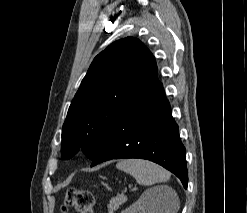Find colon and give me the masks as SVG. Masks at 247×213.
Returning a JSON list of instances; mask_svg holds the SVG:
<instances>
[{"instance_id":"obj_1","label":"colon","mask_w":247,"mask_h":213,"mask_svg":"<svg viewBox=\"0 0 247 213\" xmlns=\"http://www.w3.org/2000/svg\"><path fill=\"white\" fill-rule=\"evenodd\" d=\"M74 208L78 213H94V197L88 190L70 188L65 195L62 213Z\"/></svg>"}]
</instances>
